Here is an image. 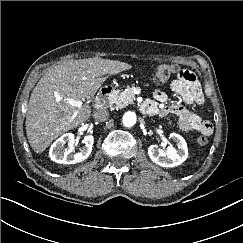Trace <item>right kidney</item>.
Listing matches in <instances>:
<instances>
[{
  "instance_id": "1",
  "label": "right kidney",
  "mask_w": 243,
  "mask_h": 243,
  "mask_svg": "<svg viewBox=\"0 0 243 243\" xmlns=\"http://www.w3.org/2000/svg\"><path fill=\"white\" fill-rule=\"evenodd\" d=\"M82 142L84 143V147L80 150V152L75 153L74 134L65 133L51 145L49 156L52 161L61 164H75L82 162L91 154L94 137L92 135H86ZM66 143L68 146L64 148V144Z\"/></svg>"
}]
</instances>
